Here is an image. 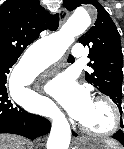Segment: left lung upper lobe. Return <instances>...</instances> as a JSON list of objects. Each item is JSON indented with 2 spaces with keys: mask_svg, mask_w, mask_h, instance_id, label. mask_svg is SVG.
<instances>
[{
  "mask_svg": "<svg viewBox=\"0 0 124 149\" xmlns=\"http://www.w3.org/2000/svg\"><path fill=\"white\" fill-rule=\"evenodd\" d=\"M81 4H92L98 11L95 25L82 35L79 42L89 47L91 67L85 72V80L100 92L109 96L122 114V60L120 35L115 23L97 0H64V6L72 11ZM120 127L124 128L122 121Z\"/></svg>",
  "mask_w": 124,
  "mask_h": 149,
  "instance_id": "left-lung-upper-lobe-1",
  "label": "left lung upper lobe"
}]
</instances>
